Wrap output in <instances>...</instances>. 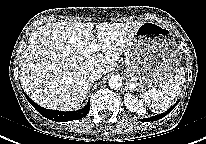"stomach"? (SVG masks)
I'll return each mask as SVG.
<instances>
[{
	"mask_svg": "<svg viewBox=\"0 0 206 144\" xmlns=\"http://www.w3.org/2000/svg\"><path fill=\"white\" fill-rule=\"evenodd\" d=\"M129 80L139 91L160 86L180 66V50L171 31L155 22H144L126 49Z\"/></svg>",
	"mask_w": 206,
	"mask_h": 144,
	"instance_id": "1",
	"label": "stomach"
}]
</instances>
